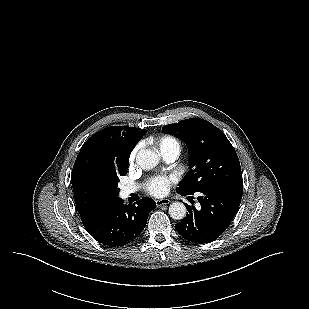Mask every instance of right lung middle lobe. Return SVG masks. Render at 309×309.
<instances>
[{
  "label": "right lung middle lobe",
  "mask_w": 309,
  "mask_h": 309,
  "mask_svg": "<svg viewBox=\"0 0 309 309\" xmlns=\"http://www.w3.org/2000/svg\"><path fill=\"white\" fill-rule=\"evenodd\" d=\"M128 171V162L122 164H112L107 168L106 171V180L108 190L114 198H118L119 188L118 182L119 177L127 174Z\"/></svg>",
  "instance_id": "obj_1"
}]
</instances>
